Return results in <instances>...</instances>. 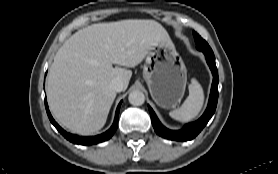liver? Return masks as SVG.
<instances>
[{"label":"liver","instance_id":"6515ba94","mask_svg":"<svg viewBox=\"0 0 278 174\" xmlns=\"http://www.w3.org/2000/svg\"><path fill=\"white\" fill-rule=\"evenodd\" d=\"M165 28L149 19L97 23L74 33L57 51L47 78V99L56 120L71 132L90 135L106 123L116 91L128 87L132 71L158 42H170ZM114 65H118L113 67Z\"/></svg>","mask_w":278,"mask_h":174}]
</instances>
